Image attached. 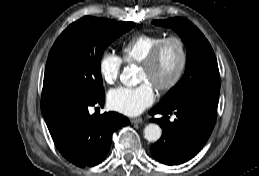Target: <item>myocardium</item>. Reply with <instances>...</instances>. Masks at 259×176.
Listing matches in <instances>:
<instances>
[{"instance_id":"f54148a6","label":"myocardium","mask_w":259,"mask_h":176,"mask_svg":"<svg viewBox=\"0 0 259 176\" xmlns=\"http://www.w3.org/2000/svg\"><path fill=\"white\" fill-rule=\"evenodd\" d=\"M175 43L177 44L179 51H180V62L178 65V68L173 75V77L167 81L166 83H157L154 85V87L161 93H168L171 90H173L181 81L186 66L188 62V52L185 42L182 38L178 36H168L164 37L160 42H158L155 47L150 51V53L140 62L141 67L151 69L155 66L157 63L160 54L163 50V48L168 43Z\"/></svg>"}]
</instances>
